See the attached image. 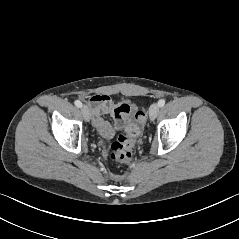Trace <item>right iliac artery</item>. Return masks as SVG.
<instances>
[{"label":"right iliac artery","instance_id":"obj_1","mask_svg":"<svg viewBox=\"0 0 239 239\" xmlns=\"http://www.w3.org/2000/svg\"><path fill=\"white\" fill-rule=\"evenodd\" d=\"M75 105L77 106V107H82V103L79 101V100H75Z\"/></svg>","mask_w":239,"mask_h":239}]
</instances>
